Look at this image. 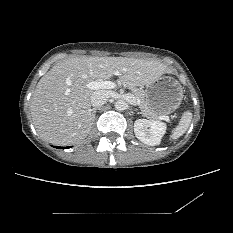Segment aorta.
Here are the masks:
<instances>
[{
  "label": "aorta",
  "mask_w": 233,
  "mask_h": 233,
  "mask_svg": "<svg viewBox=\"0 0 233 233\" xmlns=\"http://www.w3.org/2000/svg\"><path fill=\"white\" fill-rule=\"evenodd\" d=\"M127 108V103L124 100H117L115 102V109L118 111H123Z\"/></svg>",
  "instance_id": "1"
}]
</instances>
